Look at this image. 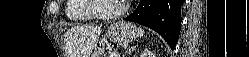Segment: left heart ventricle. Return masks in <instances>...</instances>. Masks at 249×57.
I'll use <instances>...</instances> for the list:
<instances>
[{
  "label": "left heart ventricle",
  "mask_w": 249,
  "mask_h": 57,
  "mask_svg": "<svg viewBox=\"0 0 249 57\" xmlns=\"http://www.w3.org/2000/svg\"><path fill=\"white\" fill-rule=\"evenodd\" d=\"M123 5L122 0H98V11L103 14H111L119 11Z\"/></svg>",
  "instance_id": "b2bd125f"
}]
</instances>
